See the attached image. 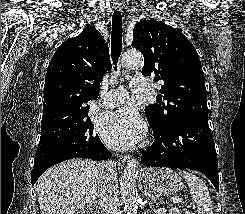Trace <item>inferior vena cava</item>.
Returning a JSON list of instances; mask_svg holds the SVG:
<instances>
[{"label":"inferior vena cava","instance_id":"inferior-vena-cava-1","mask_svg":"<svg viewBox=\"0 0 245 214\" xmlns=\"http://www.w3.org/2000/svg\"><path fill=\"white\" fill-rule=\"evenodd\" d=\"M102 175V184L99 190L101 208L104 214H119L118 182L114 161L102 164Z\"/></svg>","mask_w":245,"mask_h":214}]
</instances>
